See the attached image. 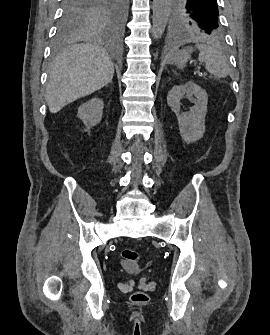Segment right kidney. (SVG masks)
<instances>
[{"instance_id":"1","label":"right kidney","mask_w":270,"mask_h":335,"mask_svg":"<svg viewBox=\"0 0 270 335\" xmlns=\"http://www.w3.org/2000/svg\"><path fill=\"white\" fill-rule=\"evenodd\" d=\"M103 106L104 104L100 98H92L86 104L79 106L78 118L87 126L85 132H88L92 126H96V124L101 122Z\"/></svg>"}]
</instances>
